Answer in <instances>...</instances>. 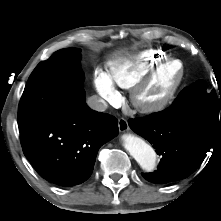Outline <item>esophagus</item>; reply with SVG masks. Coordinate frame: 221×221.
<instances>
[{
    "label": "esophagus",
    "instance_id": "esophagus-1",
    "mask_svg": "<svg viewBox=\"0 0 221 221\" xmlns=\"http://www.w3.org/2000/svg\"><path fill=\"white\" fill-rule=\"evenodd\" d=\"M118 127L120 132H126L129 130V125L126 119L120 118L118 120Z\"/></svg>",
    "mask_w": 221,
    "mask_h": 221
}]
</instances>
